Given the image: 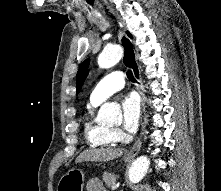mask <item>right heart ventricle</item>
Returning a JSON list of instances; mask_svg holds the SVG:
<instances>
[{"instance_id":"obj_1","label":"right heart ventricle","mask_w":221,"mask_h":191,"mask_svg":"<svg viewBox=\"0 0 221 191\" xmlns=\"http://www.w3.org/2000/svg\"><path fill=\"white\" fill-rule=\"evenodd\" d=\"M98 104L89 102L84 116V136L87 143L93 147L104 148L116 141L112 129L94 120V110Z\"/></svg>"}]
</instances>
